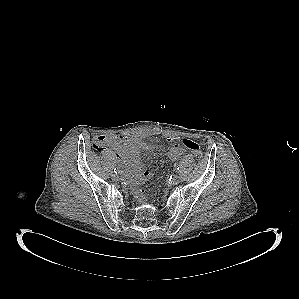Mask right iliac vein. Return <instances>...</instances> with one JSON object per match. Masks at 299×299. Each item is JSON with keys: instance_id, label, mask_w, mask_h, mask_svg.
I'll list each match as a JSON object with an SVG mask.
<instances>
[{"instance_id": "63e3f726", "label": "right iliac vein", "mask_w": 299, "mask_h": 299, "mask_svg": "<svg viewBox=\"0 0 299 299\" xmlns=\"http://www.w3.org/2000/svg\"><path fill=\"white\" fill-rule=\"evenodd\" d=\"M112 178H113V180H115V181L120 180V177H119L117 174H112Z\"/></svg>"}]
</instances>
